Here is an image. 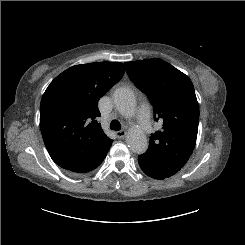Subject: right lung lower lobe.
Listing matches in <instances>:
<instances>
[{
	"label": "right lung lower lobe",
	"mask_w": 245,
	"mask_h": 245,
	"mask_svg": "<svg viewBox=\"0 0 245 245\" xmlns=\"http://www.w3.org/2000/svg\"><path fill=\"white\" fill-rule=\"evenodd\" d=\"M113 141L106 144L104 147H102L90 160L88 163L83 165L82 167L76 169L75 171H70L74 174H83L92 171L96 167H98L106 157V154L108 150L110 149V146Z\"/></svg>",
	"instance_id": "obj_1"
}]
</instances>
